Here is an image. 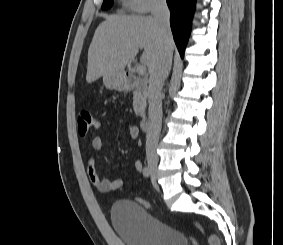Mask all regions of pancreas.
<instances>
[{"label": "pancreas", "mask_w": 283, "mask_h": 245, "mask_svg": "<svg viewBox=\"0 0 283 245\" xmlns=\"http://www.w3.org/2000/svg\"><path fill=\"white\" fill-rule=\"evenodd\" d=\"M147 92L146 89L138 90L133 96V108L136 115L142 116L146 107Z\"/></svg>", "instance_id": "cf45deb5"}]
</instances>
